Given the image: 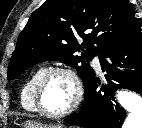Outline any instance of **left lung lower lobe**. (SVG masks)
Segmentation results:
<instances>
[{"instance_id": "1", "label": "left lung lower lobe", "mask_w": 142, "mask_h": 128, "mask_svg": "<svg viewBox=\"0 0 142 128\" xmlns=\"http://www.w3.org/2000/svg\"><path fill=\"white\" fill-rule=\"evenodd\" d=\"M99 58L102 71L106 72L105 82L101 83L94 74L84 88V103L79 112L64 121L84 128H121L126 112L115 100L114 92L125 88L142 95L140 27L111 43Z\"/></svg>"}]
</instances>
